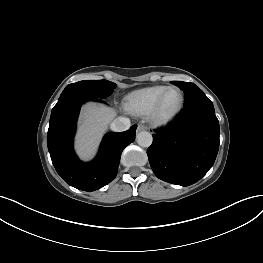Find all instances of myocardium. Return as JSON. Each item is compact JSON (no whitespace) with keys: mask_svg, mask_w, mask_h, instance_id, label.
I'll return each mask as SVG.
<instances>
[{"mask_svg":"<svg viewBox=\"0 0 263 263\" xmlns=\"http://www.w3.org/2000/svg\"><path fill=\"white\" fill-rule=\"evenodd\" d=\"M173 90L177 91L180 94V103L173 111L169 113H164L163 112L164 101L167 95ZM184 101H185L184 94L178 87L175 86L168 87L159 97L152 111L150 112L149 114L150 121L156 126H162L171 122L181 112L184 106Z\"/></svg>","mask_w":263,"mask_h":263,"instance_id":"f54148a6","label":"myocardium"}]
</instances>
